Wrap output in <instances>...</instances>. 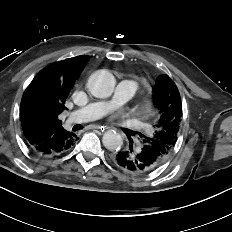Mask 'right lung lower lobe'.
Masks as SVG:
<instances>
[{"instance_id":"98d812e1","label":"right lung lower lobe","mask_w":232,"mask_h":232,"mask_svg":"<svg viewBox=\"0 0 232 232\" xmlns=\"http://www.w3.org/2000/svg\"><path fill=\"white\" fill-rule=\"evenodd\" d=\"M22 129L27 146L39 156L49 157L65 153L69 150L78 137L67 132L64 128L49 134L48 138L37 142L38 128L32 123L31 118L22 119Z\"/></svg>"}]
</instances>
